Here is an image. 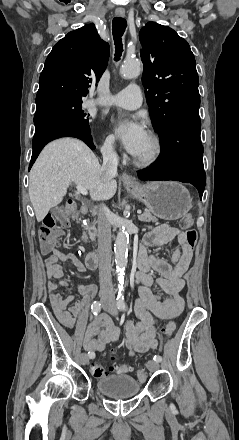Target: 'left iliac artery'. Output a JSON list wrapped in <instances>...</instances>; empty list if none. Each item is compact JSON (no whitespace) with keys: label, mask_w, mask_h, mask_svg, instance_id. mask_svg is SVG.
Masks as SVG:
<instances>
[{"label":"left iliac artery","mask_w":239,"mask_h":440,"mask_svg":"<svg viewBox=\"0 0 239 440\" xmlns=\"http://www.w3.org/2000/svg\"><path fill=\"white\" fill-rule=\"evenodd\" d=\"M124 290H123V288L121 287L120 289H119V293H118V296H117V307H118V309L119 310H121V311H124V310H126V303H125V300H124ZM153 360L154 361H156V362H161L162 361V357L161 356H159V355H155L154 357H153Z\"/></svg>","instance_id":"left-iliac-artery-1"}]
</instances>
